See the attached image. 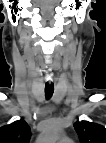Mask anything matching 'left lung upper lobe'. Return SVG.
<instances>
[{
    "label": "left lung upper lobe",
    "instance_id": "left-lung-upper-lobe-1",
    "mask_svg": "<svg viewBox=\"0 0 106 143\" xmlns=\"http://www.w3.org/2000/svg\"><path fill=\"white\" fill-rule=\"evenodd\" d=\"M74 128L81 143H106L104 126L89 121L76 122Z\"/></svg>",
    "mask_w": 106,
    "mask_h": 143
}]
</instances>
